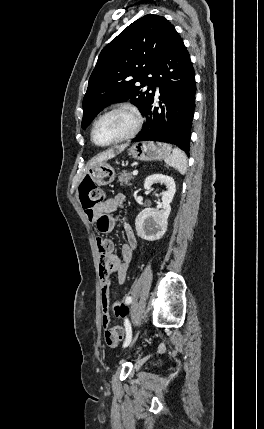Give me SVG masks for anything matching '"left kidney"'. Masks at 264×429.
<instances>
[{"label":"left kidney","instance_id":"1","mask_svg":"<svg viewBox=\"0 0 264 429\" xmlns=\"http://www.w3.org/2000/svg\"><path fill=\"white\" fill-rule=\"evenodd\" d=\"M162 183L166 191L162 195L161 208H146L142 210L135 220L137 235L147 241L159 240L167 230V219L170 215V203L173 200L176 186L174 179L163 174L148 176L144 182V188L150 189L153 183Z\"/></svg>","mask_w":264,"mask_h":429}]
</instances>
